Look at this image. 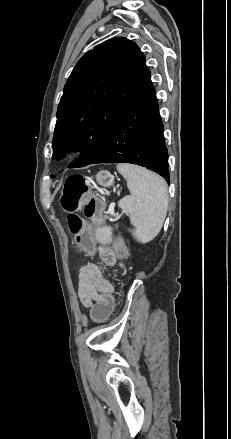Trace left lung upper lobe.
Here are the masks:
<instances>
[{
    "label": "left lung upper lobe",
    "mask_w": 231,
    "mask_h": 439,
    "mask_svg": "<svg viewBox=\"0 0 231 439\" xmlns=\"http://www.w3.org/2000/svg\"><path fill=\"white\" fill-rule=\"evenodd\" d=\"M149 72L138 46L126 38L88 51L69 76L58 105L53 158L80 150V159L69 167L88 165Z\"/></svg>",
    "instance_id": "obj_1"
}]
</instances>
